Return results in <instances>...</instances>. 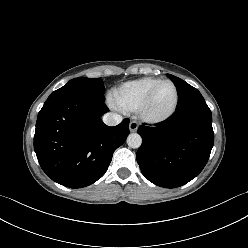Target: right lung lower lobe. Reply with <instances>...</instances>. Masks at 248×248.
Here are the masks:
<instances>
[{
  "mask_svg": "<svg viewBox=\"0 0 248 248\" xmlns=\"http://www.w3.org/2000/svg\"><path fill=\"white\" fill-rule=\"evenodd\" d=\"M104 101L85 94L48 98L40 110L34 150L43 171L55 182L70 188L88 186L108 169L114 151L129 135V119L105 125Z\"/></svg>",
  "mask_w": 248,
  "mask_h": 248,
  "instance_id": "98d812e1",
  "label": "right lung lower lobe"
}]
</instances>
